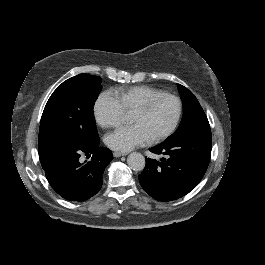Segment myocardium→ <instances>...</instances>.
I'll list each match as a JSON object with an SVG mask.
<instances>
[{
	"label": "myocardium",
	"instance_id": "myocardium-1",
	"mask_svg": "<svg viewBox=\"0 0 265 265\" xmlns=\"http://www.w3.org/2000/svg\"><path fill=\"white\" fill-rule=\"evenodd\" d=\"M160 98H168L173 100L176 103V114L175 117L172 121V123L166 128L164 129L162 132H160L158 135H156L155 137L151 138L150 140V144H156L159 143L160 141H162L163 139L167 138L168 136H170L174 130L176 129L181 116H182V110H183V104H182V100L169 92H158L150 97H148L135 111V113H144L146 112L151 106L152 104L160 99Z\"/></svg>",
	"mask_w": 265,
	"mask_h": 265
}]
</instances>
